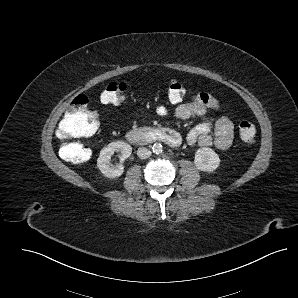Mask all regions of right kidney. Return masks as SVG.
Listing matches in <instances>:
<instances>
[{"label": "right kidney", "mask_w": 298, "mask_h": 298, "mask_svg": "<svg viewBox=\"0 0 298 298\" xmlns=\"http://www.w3.org/2000/svg\"><path fill=\"white\" fill-rule=\"evenodd\" d=\"M132 148L128 143L121 140L113 141L102 148L97 160L100 171L107 177L120 176L123 173V163L131 155ZM114 153H120L119 162L111 163V156Z\"/></svg>", "instance_id": "1"}]
</instances>
